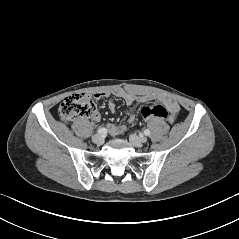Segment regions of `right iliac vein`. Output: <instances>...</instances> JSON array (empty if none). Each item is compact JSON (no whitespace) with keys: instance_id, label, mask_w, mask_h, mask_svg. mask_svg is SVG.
I'll list each match as a JSON object with an SVG mask.
<instances>
[{"instance_id":"right-iliac-vein-1","label":"right iliac vein","mask_w":239,"mask_h":239,"mask_svg":"<svg viewBox=\"0 0 239 239\" xmlns=\"http://www.w3.org/2000/svg\"><path fill=\"white\" fill-rule=\"evenodd\" d=\"M92 141L95 143V144H102L104 139H103V136L101 134H95L93 135L92 137Z\"/></svg>"}]
</instances>
